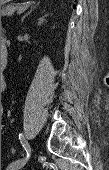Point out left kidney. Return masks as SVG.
<instances>
[{
	"label": "left kidney",
	"mask_w": 109,
	"mask_h": 170,
	"mask_svg": "<svg viewBox=\"0 0 109 170\" xmlns=\"http://www.w3.org/2000/svg\"><path fill=\"white\" fill-rule=\"evenodd\" d=\"M45 21L44 18L39 19L38 25H41Z\"/></svg>",
	"instance_id": "1"
}]
</instances>
